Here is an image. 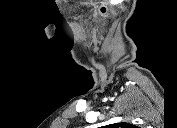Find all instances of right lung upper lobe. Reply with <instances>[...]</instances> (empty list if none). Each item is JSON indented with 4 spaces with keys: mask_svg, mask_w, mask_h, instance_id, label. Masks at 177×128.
Returning <instances> with one entry per match:
<instances>
[{
    "mask_svg": "<svg viewBox=\"0 0 177 128\" xmlns=\"http://www.w3.org/2000/svg\"><path fill=\"white\" fill-rule=\"evenodd\" d=\"M114 126L118 128H135L134 125L129 123H116Z\"/></svg>",
    "mask_w": 177,
    "mask_h": 128,
    "instance_id": "obj_1",
    "label": "right lung upper lobe"
}]
</instances>
